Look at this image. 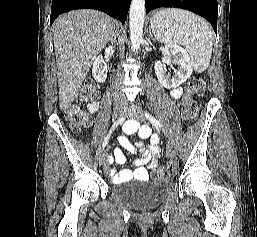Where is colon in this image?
Returning <instances> with one entry per match:
<instances>
[{"instance_id": "colon-1", "label": "colon", "mask_w": 257, "mask_h": 237, "mask_svg": "<svg viewBox=\"0 0 257 237\" xmlns=\"http://www.w3.org/2000/svg\"><path fill=\"white\" fill-rule=\"evenodd\" d=\"M206 84V77L202 75L194 76L188 82L185 96L179 106L180 115L185 121H193L196 119L199 106L193 100V96L204 93ZM96 95L97 93L95 87L90 83H86L79 92L77 103L72 104L67 108L66 117L74 131H81L89 123V118L80 104L93 100ZM172 168L173 165L171 163L166 167L158 168L153 171L152 178L154 180H166L170 178Z\"/></svg>"}]
</instances>
